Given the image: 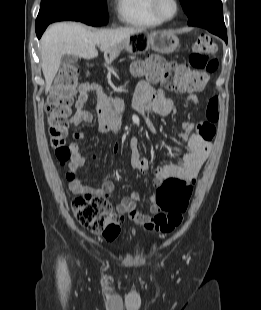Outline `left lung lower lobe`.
<instances>
[{
  "label": "left lung lower lobe",
  "instance_id": "left-lung-lower-lobe-1",
  "mask_svg": "<svg viewBox=\"0 0 261 310\" xmlns=\"http://www.w3.org/2000/svg\"><path fill=\"white\" fill-rule=\"evenodd\" d=\"M191 26H198L207 29L209 32L218 35L227 43V31L225 25H220L215 21L206 20L191 24Z\"/></svg>",
  "mask_w": 261,
  "mask_h": 310
}]
</instances>
